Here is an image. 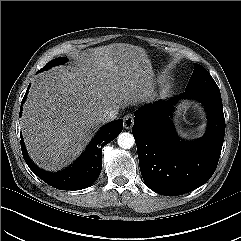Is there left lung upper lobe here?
Instances as JSON below:
<instances>
[{
    "instance_id": "1",
    "label": "left lung upper lobe",
    "mask_w": 241,
    "mask_h": 241,
    "mask_svg": "<svg viewBox=\"0 0 241 241\" xmlns=\"http://www.w3.org/2000/svg\"><path fill=\"white\" fill-rule=\"evenodd\" d=\"M196 89L219 91L216 82L208 71L201 65L195 63V68L186 87V91Z\"/></svg>"
}]
</instances>
